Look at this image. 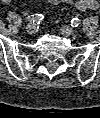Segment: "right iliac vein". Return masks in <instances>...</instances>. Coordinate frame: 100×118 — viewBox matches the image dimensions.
<instances>
[{"mask_svg":"<svg viewBox=\"0 0 100 118\" xmlns=\"http://www.w3.org/2000/svg\"><path fill=\"white\" fill-rule=\"evenodd\" d=\"M26 31H27L28 34H34L36 32V26L33 25V24H29L26 27Z\"/></svg>","mask_w":100,"mask_h":118,"instance_id":"63e3f726","label":"right iliac vein"}]
</instances>
